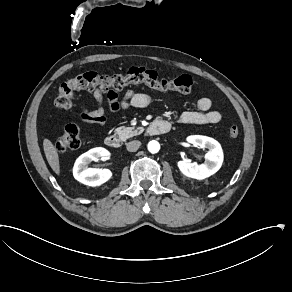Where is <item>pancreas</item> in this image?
<instances>
[{"label":"pancreas","instance_id":"1","mask_svg":"<svg viewBox=\"0 0 292 292\" xmlns=\"http://www.w3.org/2000/svg\"><path fill=\"white\" fill-rule=\"evenodd\" d=\"M143 132V128H134V127H125L121 126L115 129V135L118 136L121 140H126L130 137L140 134Z\"/></svg>","mask_w":292,"mask_h":292}]
</instances>
